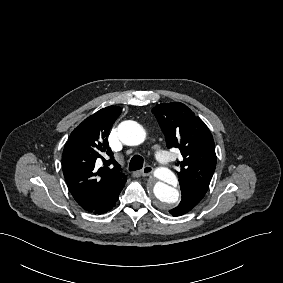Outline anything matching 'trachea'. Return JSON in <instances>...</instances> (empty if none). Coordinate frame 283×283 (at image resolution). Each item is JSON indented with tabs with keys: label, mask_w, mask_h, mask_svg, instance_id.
<instances>
[{
	"label": "trachea",
	"mask_w": 283,
	"mask_h": 283,
	"mask_svg": "<svg viewBox=\"0 0 283 283\" xmlns=\"http://www.w3.org/2000/svg\"><path fill=\"white\" fill-rule=\"evenodd\" d=\"M144 164V159L140 155H134L129 163V171H136L142 169Z\"/></svg>",
	"instance_id": "trachea-1"
}]
</instances>
